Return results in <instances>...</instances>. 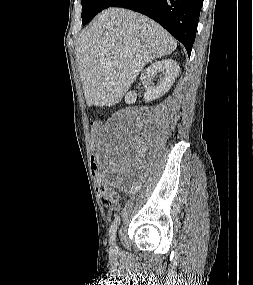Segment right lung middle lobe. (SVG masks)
<instances>
[{"instance_id": "1", "label": "right lung middle lobe", "mask_w": 253, "mask_h": 285, "mask_svg": "<svg viewBox=\"0 0 253 285\" xmlns=\"http://www.w3.org/2000/svg\"><path fill=\"white\" fill-rule=\"evenodd\" d=\"M116 0H81L83 25L87 24L97 13L110 7Z\"/></svg>"}]
</instances>
